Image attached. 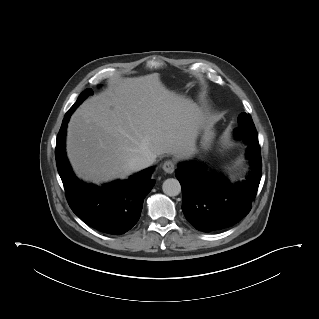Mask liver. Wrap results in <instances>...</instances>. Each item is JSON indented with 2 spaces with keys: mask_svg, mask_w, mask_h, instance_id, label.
Here are the masks:
<instances>
[{
  "mask_svg": "<svg viewBox=\"0 0 319 319\" xmlns=\"http://www.w3.org/2000/svg\"><path fill=\"white\" fill-rule=\"evenodd\" d=\"M205 120L198 106L168 90L158 73L117 79L71 116L67 156L85 181L125 179L136 157H189Z\"/></svg>",
  "mask_w": 319,
  "mask_h": 319,
  "instance_id": "1",
  "label": "liver"
}]
</instances>
